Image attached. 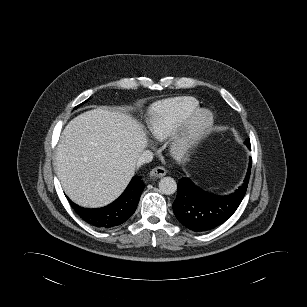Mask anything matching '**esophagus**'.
I'll list each match as a JSON object with an SVG mask.
<instances>
[{"label":"esophagus","mask_w":307,"mask_h":307,"mask_svg":"<svg viewBox=\"0 0 307 307\" xmlns=\"http://www.w3.org/2000/svg\"><path fill=\"white\" fill-rule=\"evenodd\" d=\"M166 169L159 166V167H155L150 171V176L151 177H163L166 175Z\"/></svg>","instance_id":"1"}]
</instances>
